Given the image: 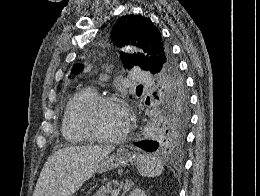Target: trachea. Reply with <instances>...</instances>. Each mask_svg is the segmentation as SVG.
Wrapping results in <instances>:
<instances>
[{
	"label": "trachea",
	"instance_id": "obj_1",
	"mask_svg": "<svg viewBox=\"0 0 260 196\" xmlns=\"http://www.w3.org/2000/svg\"><path fill=\"white\" fill-rule=\"evenodd\" d=\"M137 88H143V85H138Z\"/></svg>",
	"mask_w": 260,
	"mask_h": 196
}]
</instances>
